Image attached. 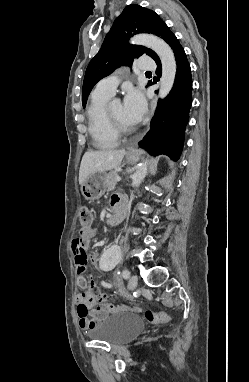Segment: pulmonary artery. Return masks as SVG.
<instances>
[{"label":"pulmonary artery","mask_w":249,"mask_h":382,"mask_svg":"<svg viewBox=\"0 0 249 382\" xmlns=\"http://www.w3.org/2000/svg\"><path fill=\"white\" fill-rule=\"evenodd\" d=\"M136 67L138 69L144 70V71L153 70V69H155V63L153 61H151V59L148 57H142L139 59ZM119 81H120L119 71H117L116 73H114V74L102 79L101 81H99L98 84L96 85L95 90L98 92H102V93H105V94L112 96L115 92V89H116Z\"/></svg>","instance_id":"1"}]
</instances>
